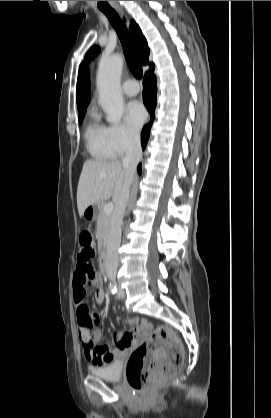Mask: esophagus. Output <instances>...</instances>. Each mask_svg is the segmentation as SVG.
I'll return each instance as SVG.
<instances>
[{"mask_svg": "<svg viewBox=\"0 0 271 418\" xmlns=\"http://www.w3.org/2000/svg\"><path fill=\"white\" fill-rule=\"evenodd\" d=\"M118 10H119L120 12H122V10H121L120 8H119Z\"/></svg>", "mask_w": 271, "mask_h": 418, "instance_id": "1", "label": "esophagus"}]
</instances>
